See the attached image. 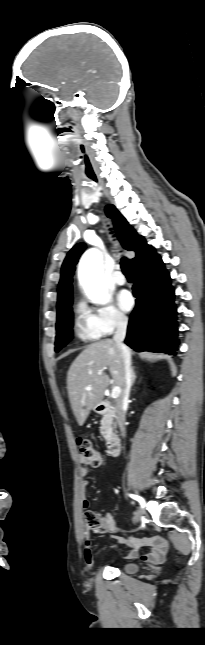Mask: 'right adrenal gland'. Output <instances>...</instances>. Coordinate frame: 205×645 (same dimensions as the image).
Instances as JSON below:
<instances>
[{
    "label": "right adrenal gland",
    "instance_id": "2a0ac1e0",
    "mask_svg": "<svg viewBox=\"0 0 205 645\" xmlns=\"http://www.w3.org/2000/svg\"><path fill=\"white\" fill-rule=\"evenodd\" d=\"M135 380H136V375H135L134 369H132V385L134 384Z\"/></svg>",
    "mask_w": 205,
    "mask_h": 645
}]
</instances>
